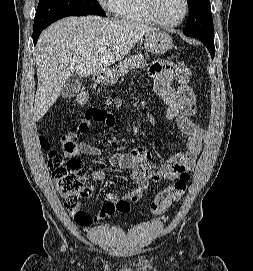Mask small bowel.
<instances>
[{"label":"small bowel","mask_w":253,"mask_h":271,"mask_svg":"<svg viewBox=\"0 0 253 271\" xmlns=\"http://www.w3.org/2000/svg\"><path fill=\"white\" fill-rule=\"evenodd\" d=\"M150 74L154 79L155 90L167 106L161 118L175 121L181 128L187 137L184 149L181 153L159 166L151 164L152 152L145 146L137 147L129 153H114L110 158V164L115 168L130 169L131 179L136 186L122 197L113 192L107 193L105 195L106 203L94 217L95 220L106 218L114 212L111 207L105 205H113L119 199L132 202L138 201L150 182L174 180L181 178L183 175H189L188 172L194 168L201 145L206 139L205 131L191 119L196 114V99L187 83L189 72L183 71L180 67L168 61H158L151 66ZM175 81L180 83L178 88L173 86ZM93 121L96 120L86 115V118L78 124L74 131L62 136L61 142L66 155L100 156L102 154L101 147L76 141L78 135L88 131ZM97 122L112 128L115 126V117L109 113L107 119ZM91 176L93 180L103 182L106 179V172L104 170H95Z\"/></svg>","instance_id":"c3829d8e"}]
</instances>
